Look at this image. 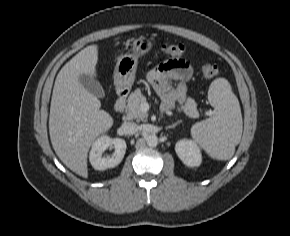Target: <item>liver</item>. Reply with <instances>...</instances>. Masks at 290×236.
<instances>
[{
  "label": "liver",
  "mask_w": 290,
  "mask_h": 236,
  "mask_svg": "<svg viewBox=\"0 0 290 236\" xmlns=\"http://www.w3.org/2000/svg\"><path fill=\"white\" fill-rule=\"evenodd\" d=\"M98 45L76 54L59 71L51 99L49 134L59 159L73 172L88 177L87 155L94 140L113 125L100 110L101 102L79 82L83 74L96 76Z\"/></svg>",
  "instance_id": "1"
}]
</instances>
